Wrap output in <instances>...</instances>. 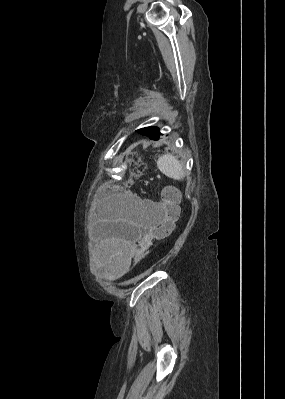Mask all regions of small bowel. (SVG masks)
Segmentation results:
<instances>
[{
	"mask_svg": "<svg viewBox=\"0 0 285 399\" xmlns=\"http://www.w3.org/2000/svg\"><path fill=\"white\" fill-rule=\"evenodd\" d=\"M177 193L176 190H172ZM164 203L161 201L145 200L134 196L132 204L128 207L126 218L123 220L125 239L119 244L114 258V268L125 272L134 260L135 246L144 238L153 234L163 222L164 214L158 209Z\"/></svg>",
	"mask_w": 285,
	"mask_h": 399,
	"instance_id": "small-bowel-1",
	"label": "small bowel"
}]
</instances>
